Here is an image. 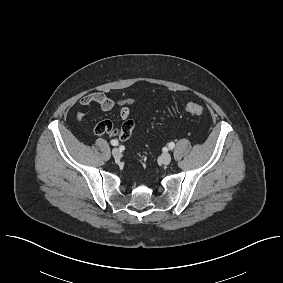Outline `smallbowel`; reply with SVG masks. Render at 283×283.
<instances>
[{
  "label": "small bowel",
  "mask_w": 283,
  "mask_h": 283,
  "mask_svg": "<svg viewBox=\"0 0 283 283\" xmlns=\"http://www.w3.org/2000/svg\"><path fill=\"white\" fill-rule=\"evenodd\" d=\"M80 104L83 107H89L93 104L99 106L103 111H111L116 106H120L119 116L123 121V124L120 128H117V133L114 135L115 137L125 140L130 137L132 132L134 131L135 124L132 120L129 119L130 115V106L134 104V100L130 98L125 99H113L108 97L103 92H91L85 94L80 99ZM79 121H84V113L78 112L76 115Z\"/></svg>",
  "instance_id": "small-bowel-1"
}]
</instances>
